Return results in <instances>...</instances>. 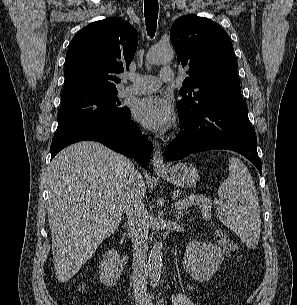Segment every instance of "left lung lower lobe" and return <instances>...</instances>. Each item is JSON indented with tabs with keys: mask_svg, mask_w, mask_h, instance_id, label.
I'll return each instance as SVG.
<instances>
[{
	"mask_svg": "<svg viewBox=\"0 0 297 305\" xmlns=\"http://www.w3.org/2000/svg\"><path fill=\"white\" fill-rule=\"evenodd\" d=\"M180 114L182 125L177 137L164 152L169 161L212 149L240 153L262 172L257 153V138L241 92L236 91L206 103L196 112Z\"/></svg>",
	"mask_w": 297,
	"mask_h": 305,
	"instance_id": "1",
	"label": "left lung lower lobe"
}]
</instances>
